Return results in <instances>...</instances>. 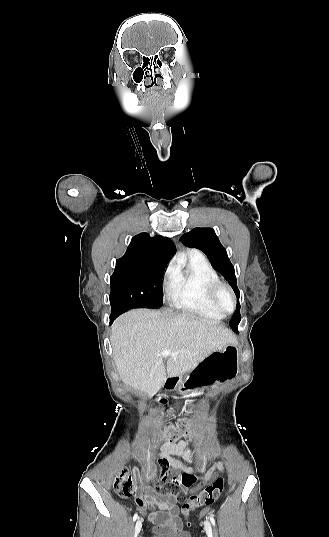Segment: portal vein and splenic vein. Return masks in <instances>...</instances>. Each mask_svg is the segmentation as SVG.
<instances>
[{"mask_svg":"<svg viewBox=\"0 0 329 537\" xmlns=\"http://www.w3.org/2000/svg\"><path fill=\"white\" fill-rule=\"evenodd\" d=\"M169 353H170L169 350H165V351L162 353V355H163V356H167Z\"/></svg>","mask_w":329,"mask_h":537,"instance_id":"obj_1","label":"portal vein and splenic vein"}]
</instances>
